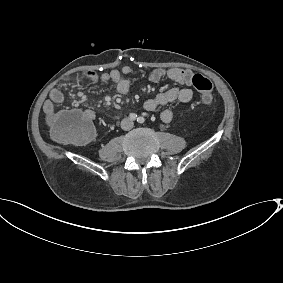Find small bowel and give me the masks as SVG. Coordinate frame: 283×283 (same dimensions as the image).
<instances>
[{
	"instance_id": "small-bowel-1",
	"label": "small bowel",
	"mask_w": 283,
	"mask_h": 283,
	"mask_svg": "<svg viewBox=\"0 0 283 283\" xmlns=\"http://www.w3.org/2000/svg\"><path fill=\"white\" fill-rule=\"evenodd\" d=\"M132 74L133 70L130 67L125 66L121 70H112L101 74H97L94 71H86L82 77H71L69 78V81L80 83L84 78L92 82H101L103 84L112 83L119 94L125 95L130 89ZM193 76L191 71L180 68H156L152 70L148 76L150 81L158 82L163 78H167L185 87H172L157 94L153 98L147 99L144 102L145 110L155 111L173 102L188 103L193 97L192 90L189 88V86L192 85ZM63 101L64 95L59 89L51 90L48 99L44 103L43 109L45 114L48 116L52 115L54 113L55 105H59ZM85 113L90 118H93L92 111L86 110ZM173 116V111L169 108L162 109L160 112V118L165 123L171 122Z\"/></svg>"
}]
</instances>
